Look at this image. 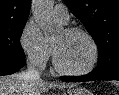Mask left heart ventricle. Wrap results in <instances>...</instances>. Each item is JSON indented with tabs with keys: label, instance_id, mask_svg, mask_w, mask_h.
Returning a JSON list of instances; mask_svg holds the SVG:
<instances>
[{
	"label": "left heart ventricle",
	"instance_id": "b2bd125f",
	"mask_svg": "<svg viewBox=\"0 0 119 95\" xmlns=\"http://www.w3.org/2000/svg\"><path fill=\"white\" fill-rule=\"evenodd\" d=\"M53 46L59 62L68 69H83L92 60V46L83 35L63 31L53 42Z\"/></svg>",
	"mask_w": 119,
	"mask_h": 95
}]
</instances>
